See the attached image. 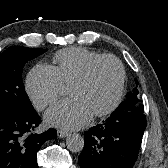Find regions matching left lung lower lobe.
Wrapping results in <instances>:
<instances>
[{
	"label": "left lung lower lobe",
	"mask_w": 168,
	"mask_h": 168,
	"mask_svg": "<svg viewBox=\"0 0 168 168\" xmlns=\"http://www.w3.org/2000/svg\"><path fill=\"white\" fill-rule=\"evenodd\" d=\"M146 128L144 107H118L85 132L80 168H133Z\"/></svg>",
	"instance_id": "1"
}]
</instances>
